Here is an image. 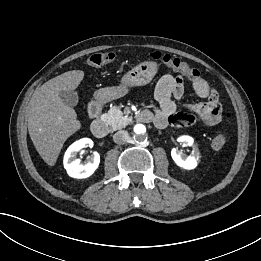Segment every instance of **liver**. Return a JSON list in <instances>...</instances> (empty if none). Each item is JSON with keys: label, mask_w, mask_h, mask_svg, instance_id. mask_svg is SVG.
Returning a JSON list of instances; mask_svg holds the SVG:
<instances>
[{"label": "liver", "mask_w": 261, "mask_h": 261, "mask_svg": "<svg viewBox=\"0 0 261 261\" xmlns=\"http://www.w3.org/2000/svg\"><path fill=\"white\" fill-rule=\"evenodd\" d=\"M84 78L82 70H72L56 76L37 88L30 100L28 131L41 156L54 166L65 141L81 128L73 108L65 105L60 91L75 90Z\"/></svg>", "instance_id": "6515ba94"}]
</instances>
